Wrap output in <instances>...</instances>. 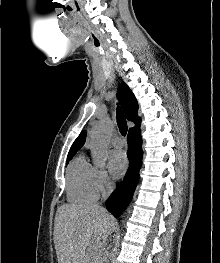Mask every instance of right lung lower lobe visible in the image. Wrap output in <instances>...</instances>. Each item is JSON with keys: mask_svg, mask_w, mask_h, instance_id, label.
Masks as SVG:
<instances>
[{"mask_svg": "<svg viewBox=\"0 0 220 263\" xmlns=\"http://www.w3.org/2000/svg\"><path fill=\"white\" fill-rule=\"evenodd\" d=\"M129 169L124 181L111 194L106 202L108 211L116 218L120 217L125 207L129 203L138 181V172L141 165V136L140 130L129 132L127 136Z\"/></svg>", "mask_w": 220, "mask_h": 263, "instance_id": "1", "label": "right lung lower lobe"}]
</instances>
